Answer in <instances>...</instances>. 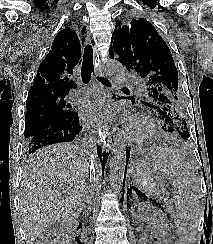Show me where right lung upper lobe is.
Wrapping results in <instances>:
<instances>
[{"label":"right lung upper lobe","instance_id":"right-lung-upper-lobe-1","mask_svg":"<svg viewBox=\"0 0 213 244\" xmlns=\"http://www.w3.org/2000/svg\"><path fill=\"white\" fill-rule=\"evenodd\" d=\"M81 46L76 32L70 27L61 30L50 52L40 64L28 97L47 94L67 95L77 84L70 79L74 67L81 63Z\"/></svg>","mask_w":213,"mask_h":244}]
</instances>
